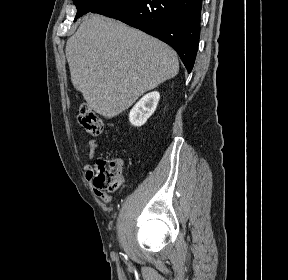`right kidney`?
Instances as JSON below:
<instances>
[{
    "label": "right kidney",
    "instance_id": "obj_1",
    "mask_svg": "<svg viewBox=\"0 0 288 280\" xmlns=\"http://www.w3.org/2000/svg\"><path fill=\"white\" fill-rule=\"evenodd\" d=\"M160 99V94L157 91L144 95L131 109L129 113V120L134 126H142L147 119L156 110Z\"/></svg>",
    "mask_w": 288,
    "mask_h": 280
}]
</instances>
